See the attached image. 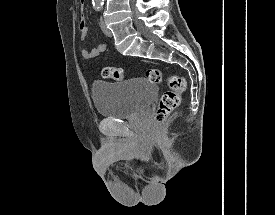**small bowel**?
<instances>
[{"instance_id":"1","label":"small bowel","mask_w":275,"mask_h":215,"mask_svg":"<svg viewBox=\"0 0 275 215\" xmlns=\"http://www.w3.org/2000/svg\"><path fill=\"white\" fill-rule=\"evenodd\" d=\"M82 3H84V0H82ZM88 35V24L85 19H82L79 24V37L82 41H85ZM107 44H99L97 47L88 50L87 48H81L80 52L82 57L85 60H93L97 58L101 53L106 51Z\"/></svg>"}]
</instances>
